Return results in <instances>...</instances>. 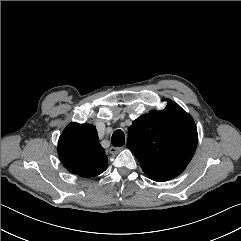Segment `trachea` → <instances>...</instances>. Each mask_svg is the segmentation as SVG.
Segmentation results:
<instances>
[{"label":"trachea","instance_id":"obj_1","mask_svg":"<svg viewBox=\"0 0 241 241\" xmlns=\"http://www.w3.org/2000/svg\"><path fill=\"white\" fill-rule=\"evenodd\" d=\"M112 145L115 147H121L125 143V136L122 130L114 131L111 139Z\"/></svg>","mask_w":241,"mask_h":241}]
</instances>
